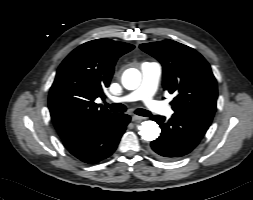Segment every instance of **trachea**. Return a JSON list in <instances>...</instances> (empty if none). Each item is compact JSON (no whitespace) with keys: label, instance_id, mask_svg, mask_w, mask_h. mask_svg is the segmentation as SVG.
I'll return each instance as SVG.
<instances>
[{"label":"trachea","instance_id":"1","mask_svg":"<svg viewBox=\"0 0 253 200\" xmlns=\"http://www.w3.org/2000/svg\"><path fill=\"white\" fill-rule=\"evenodd\" d=\"M106 106H108L112 112H125L126 111V106H124L123 104L113 103V104H106ZM135 113L139 116H144V117H148L151 115V113L145 109H137L135 111Z\"/></svg>","mask_w":253,"mask_h":200}]
</instances>
